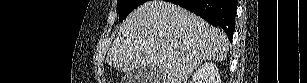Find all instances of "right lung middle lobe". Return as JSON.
Segmentation results:
<instances>
[{"mask_svg": "<svg viewBox=\"0 0 307 83\" xmlns=\"http://www.w3.org/2000/svg\"><path fill=\"white\" fill-rule=\"evenodd\" d=\"M145 2L146 0H118L119 21H122L131 11Z\"/></svg>", "mask_w": 307, "mask_h": 83, "instance_id": "obj_1", "label": "right lung middle lobe"}]
</instances>
